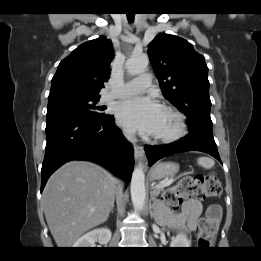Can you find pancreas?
Wrapping results in <instances>:
<instances>
[{
    "mask_svg": "<svg viewBox=\"0 0 261 261\" xmlns=\"http://www.w3.org/2000/svg\"><path fill=\"white\" fill-rule=\"evenodd\" d=\"M164 190V187L160 188H154V190L151 192L153 196H158L162 191Z\"/></svg>",
    "mask_w": 261,
    "mask_h": 261,
    "instance_id": "pancreas-1",
    "label": "pancreas"
}]
</instances>
